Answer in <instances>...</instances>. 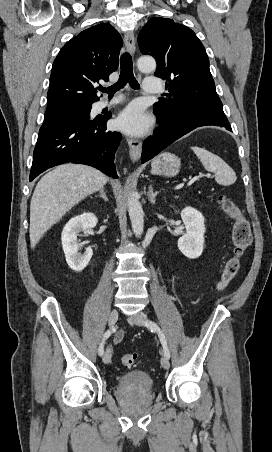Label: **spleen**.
Segmentation results:
<instances>
[{"label":"spleen","instance_id":"3e777b00","mask_svg":"<svg viewBox=\"0 0 272 452\" xmlns=\"http://www.w3.org/2000/svg\"><path fill=\"white\" fill-rule=\"evenodd\" d=\"M204 168L215 173V180L218 184L229 186L235 183L237 177L233 169L219 156L198 146L191 147Z\"/></svg>","mask_w":272,"mask_h":452}]
</instances>
